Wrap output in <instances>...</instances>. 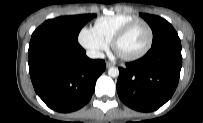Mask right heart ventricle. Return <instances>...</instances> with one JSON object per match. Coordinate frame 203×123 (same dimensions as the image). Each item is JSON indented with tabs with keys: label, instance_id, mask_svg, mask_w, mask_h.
Returning <instances> with one entry per match:
<instances>
[{
	"label": "right heart ventricle",
	"instance_id": "right-heart-ventricle-1",
	"mask_svg": "<svg viewBox=\"0 0 203 123\" xmlns=\"http://www.w3.org/2000/svg\"><path fill=\"white\" fill-rule=\"evenodd\" d=\"M139 20L129 14H115L98 18L94 23V30L107 43L112 42L114 36L127 24Z\"/></svg>",
	"mask_w": 203,
	"mask_h": 123
}]
</instances>
